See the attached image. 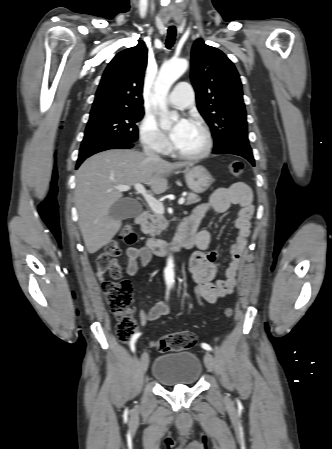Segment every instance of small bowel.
Instances as JSON below:
<instances>
[{"label": "small bowel", "mask_w": 332, "mask_h": 449, "mask_svg": "<svg viewBox=\"0 0 332 449\" xmlns=\"http://www.w3.org/2000/svg\"><path fill=\"white\" fill-rule=\"evenodd\" d=\"M240 207L238 218L235 221L237 235L230 248V263L225 270V277L217 279L218 265L216 254L210 251V234L207 230H199L201 221L210 213H224L230 205ZM254 212L251 189L242 182L234 183L230 187L216 190L208 202L199 204L189 216L195 227L194 245L196 251L190 259V271L195 282V295L198 300L214 303L231 294L236 285V275L242 264V256L250 234ZM128 257L126 273L133 276L137 273L139 265L147 266L151 261V253L145 247H129L126 250ZM168 306L158 302L149 310L140 312L137 322L146 325L168 313ZM139 337V334H138Z\"/></svg>", "instance_id": "small-bowel-1"}]
</instances>
